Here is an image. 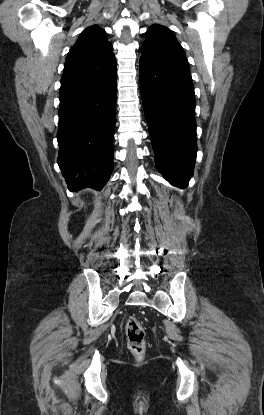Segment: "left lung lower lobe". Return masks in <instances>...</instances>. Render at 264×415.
Returning <instances> with one entry per match:
<instances>
[{
	"label": "left lung lower lobe",
	"mask_w": 264,
	"mask_h": 415,
	"mask_svg": "<svg viewBox=\"0 0 264 415\" xmlns=\"http://www.w3.org/2000/svg\"><path fill=\"white\" fill-rule=\"evenodd\" d=\"M140 86L157 169L172 185L184 188L193 175L197 152L190 71L140 58Z\"/></svg>",
	"instance_id": "1"
}]
</instances>
